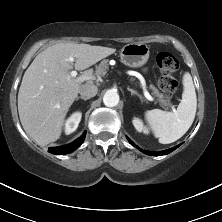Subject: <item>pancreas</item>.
Instances as JSON below:
<instances>
[{
    "label": "pancreas",
    "instance_id": "1",
    "mask_svg": "<svg viewBox=\"0 0 222 222\" xmlns=\"http://www.w3.org/2000/svg\"><path fill=\"white\" fill-rule=\"evenodd\" d=\"M107 69H108V60H103L98 66H96V74L98 76H104L107 72ZM150 89L152 90V94L155 97H158V100L161 103V105L163 106L170 105L169 100L164 99V96L159 92V90L154 85L151 84Z\"/></svg>",
    "mask_w": 222,
    "mask_h": 222
}]
</instances>
